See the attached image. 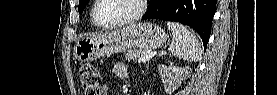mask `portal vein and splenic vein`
I'll return each mask as SVG.
<instances>
[{"instance_id":"obj_1","label":"portal vein and splenic vein","mask_w":277,"mask_h":95,"mask_svg":"<svg viewBox=\"0 0 277 95\" xmlns=\"http://www.w3.org/2000/svg\"><path fill=\"white\" fill-rule=\"evenodd\" d=\"M156 55V51H154V52H150V53H148L147 55H145V56H143V57H141L139 60H138V62L139 63H144V62H146V61H149L152 57H154Z\"/></svg>"}]
</instances>
